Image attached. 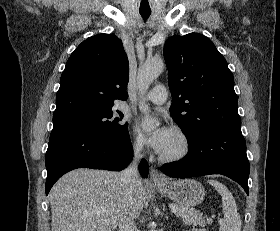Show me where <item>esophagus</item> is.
I'll use <instances>...</instances> for the list:
<instances>
[{
  "instance_id": "34e87169",
  "label": "esophagus",
  "mask_w": 280,
  "mask_h": 231,
  "mask_svg": "<svg viewBox=\"0 0 280 231\" xmlns=\"http://www.w3.org/2000/svg\"><path fill=\"white\" fill-rule=\"evenodd\" d=\"M166 177L155 168L150 170V181H164Z\"/></svg>"
}]
</instances>
